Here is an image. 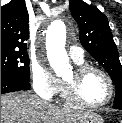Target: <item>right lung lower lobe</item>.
<instances>
[{
  "label": "right lung lower lobe",
  "instance_id": "obj_1",
  "mask_svg": "<svg viewBox=\"0 0 122 123\" xmlns=\"http://www.w3.org/2000/svg\"><path fill=\"white\" fill-rule=\"evenodd\" d=\"M29 88L30 83L28 80L1 72V94L20 90H28Z\"/></svg>",
  "mask_w": 122,
  "mask_h": 123
}]
</instances>
